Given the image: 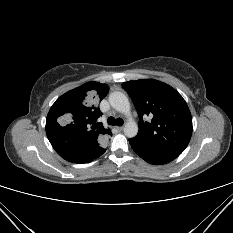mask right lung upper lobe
<instances>
[{
	"instance_id": "cb5924a9",
	"label": "right lung upper lobe",
	"mask_w": 233,
	"mask_h": 233,
	"mask_svg": "<svg viewBox=\"0 0 233 233\" xmlns=\"http://www.w3.org/2000/svg\"><path fill=\"white\" fill-rule=\"evenodd\" d=\"M109 87L87 82L59 97L46 118L47 137L55 151L73 163H88L102 155L110 130L98 121L102 115L92 100L101 101Z\"/></svg>"
}]
</instances>
